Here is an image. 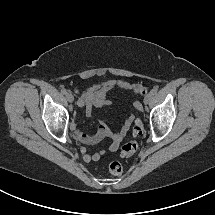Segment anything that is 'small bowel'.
Here are the masks:
<instances>
[{
	"mask_svg": "<svg viewBox=\"0 0 215 215\" xmlns=\"http://www.w3.org/2000/svg\"><path fill=\"white\" fill-rule=\"evenodd\" d=\"M119 88L126 91H133L138 96H143L147 92V88L142 84L133 83L125 80H118L114 78H108L101 82L88 87L83 94L79 97L78 105L86 108V114L88 116H94L93 110L95 108L102 107L104 105L111 104V100L107 97V93L114 89ZM136 110H141V104L139 101L134 102ZM133 121V115H130L121 126L118 132H112L102 119L98 118V129L95 134L89 135L73 126L74 137L85 145H95L105 138H111L110 150L115 151L118 149L123 138L127 134L129 127ZM81 152L85 161H97L101 158L104 151H96L90 153L86 148H82Z\"/></svg>",
	"mask_w": 215,
	"mask_h": 215,
	"instance_id": "obj_1",
	"label": "small bowel"
}]
</instances>
